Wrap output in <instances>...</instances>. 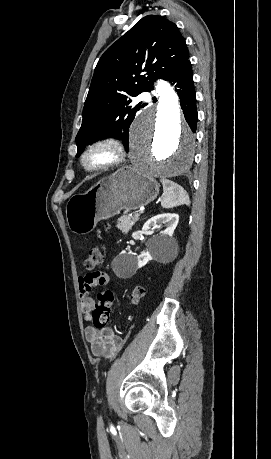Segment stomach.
I'll list each match as a JSON object with an SVG mask.
<instances>
[{
	"instance_id": "stomach-1",
	"label": "stomach",
	"mask_w": 271,
	"mask_h": 459,
	"mask_svg": "<svg viewBox=\"0 0 271 459\" xmlns=\"http://www.w3.org/2000/svg\"><path fill=\"white\" fill-rule=\"evenodd\" d=\"M159 184L154 178L123 166L112 176L101 178L86 194H75L66 206V220L73 233H89L99 220L120 210H138L156 200Z\"/></svg>"
}]
</instances>
